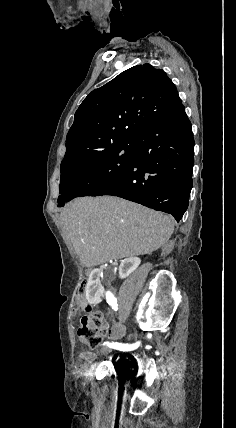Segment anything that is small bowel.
Here are the masks:
<instances>
[{
	"mask_svg": "<svg viewBox=\"0 0 236 428\" xmlns=\"http://www.w3.org/2000/svg\"><path fill=\"white\" fill-rule=\"evenodd\" d=\"M125 329L122 325H114L108 332V337L110 338H119L123 336ZM81 357L85 361H90L93 358V355L89 352L82 353Z\"/></svg>",
	"mask_w": 236,
	"mask_h": 428,
	"instance_id": "c3829d8e",
	"label": "small bowel"
}]
</instances>
